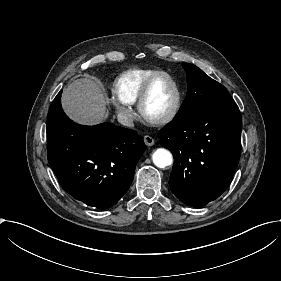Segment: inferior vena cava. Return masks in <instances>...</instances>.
I'll return each instance as SVG.
<instances>
[{"mask_svg": "<svg viewBox=\"0 0 281 281\" xmlns=\"http://www.w3.org/2000/svg\"><path fill=\"white\" fill-rule=\"evenodd\" d=\"M117 120L119 123H121L124 126H128V127L134 126L133 119L125 113H119L117 115Z\"/></svg>", "mask_w": 281, "mask_h": 281, "instance_id": "inferior-vena-cava-1", "label": "inferior vena cava"}]
</instances>
